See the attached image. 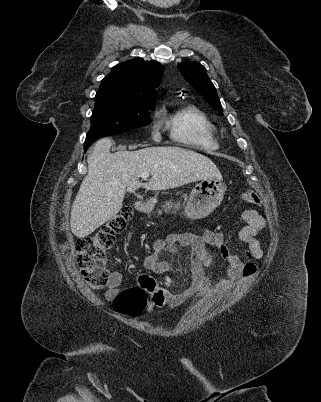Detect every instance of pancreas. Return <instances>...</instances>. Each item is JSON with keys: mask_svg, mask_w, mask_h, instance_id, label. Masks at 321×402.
Here are the masks:
<instances>
[{"mask_svg": "<svg viewBox=\"0 0 321 402\" xmlns=\"http://www.w3.org/2000/svg\"><path fill=\"white\" fill-rule=\"evenodd\" d=\"M158 214H159V215H161V214H162V212H161L160 210H158Z\"/></svg>", "mask_w": 321, "mask_h": 402, "instance_id": "pancreas-1", "label": "pancreas"}]
</instances>
